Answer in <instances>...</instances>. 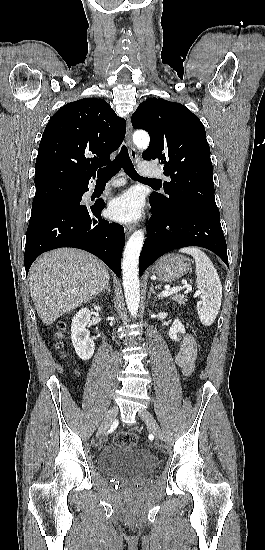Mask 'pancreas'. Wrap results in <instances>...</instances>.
Here are the masks:
<instances>
[{"label": "pancreas", "mask_w": 265, "mask_h": 550, "mask_svg": "<svg viewBox=\"0 0 265 550\" xmlns=\"http://www.w3.org/2000/svg\"><path fill=\"white\" fill-rule=\"evenodd\" d=\"M172 299L178 302L179 304H185L187 302V297L179 293L173 294Z\"/></svg>", "instance_id": "cf45deb5"}]
</instances>
